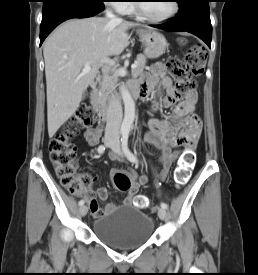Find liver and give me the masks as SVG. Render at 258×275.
<instances>
[{"label": "liver", "instance_id": "liver-1", "mask_svg": "<svg viewBox=\"0 0 258 275\" xmlns=\"http://www.w3.org/2000/svg\"><path fill=\"white\" fill-rule=\"evenodd\" d=\"M135 25L139 24L112 23L101 17L72 19L46 39L43 55L50 138L77 110L96 69L108 56H118L124 51L129 40L127 30ZM86 64L91 69L84 73Z\"/></svg>", "mask_w": 258, "mask_h": 275}]
</instances>
